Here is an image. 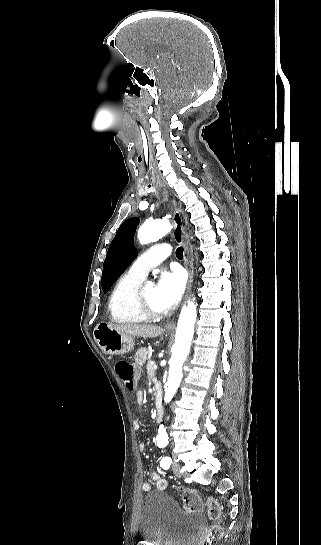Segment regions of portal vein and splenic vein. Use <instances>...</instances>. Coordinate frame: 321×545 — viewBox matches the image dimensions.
<instances>
[{
  "label": "portal vein and splenic vein",
  "instance_id": "18ae733b",
  "mask_svg": "<svg viewBox=\"0 0 321 545\" xmlns=\"http://www.w3.org/2000/svg\"><path fill=\"white\" fill-rule=\"evenodd\" d=\"M153 370H158L157 365H154Z\"/></svg>",
  "mask_w": 321,
  "mask_h": 545
}]
</instances>
